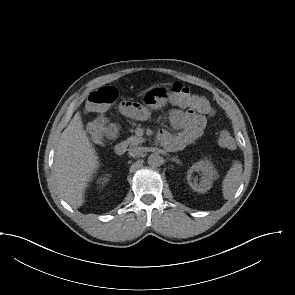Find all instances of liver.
Here are the masks:
<instances>
[{
    "mask_svg": "<svg viewBox=\"0 0 295 295\" xmlns=\"http://www.w3.org/2000/svg\"><path fill=\"white\" fill-rule=\"evenodd\" d=\"M99 167V157L76 113L62 132L54 157L57 188L73 208L83 205L88 182Z\"/></svg>",
    "mask_w": 295,
    "mask_h": 295,
    "instance_id": "6515ba94",
    "label": "liver"
}]
</instances>
